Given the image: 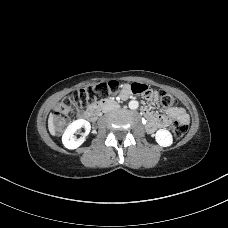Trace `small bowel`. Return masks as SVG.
<instances>
[{
  "label": "small bowel",
  "instance_id": "1",
  "mask_svg": "<svg viewBox=\"0 0 228 228\" xmlns=\"http://www.w3.org/2000/svg\"><path fill=\"white\" fill-rule=\"evenodd\" d=\"M130 92H131V89H130L129 85L124 84L121 87L120 96L122 98H127L129 96ZM150 98L153 99V100H157L158 97H157L156 93H152ZM156 118L159 120V123H160L157 128H165V127H167L169 125L171 119H177L179 122H181V123H183L185 125L189 121L188 114L181 107L169 108L168 111H167V115L156 116ZM147 130H148V128H147ZM149 132H153V131H149Z\"/></svg>",
  "mask_w": 228,
  "mask_h": 228
}]
</instances>
